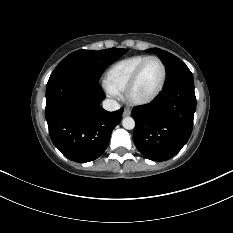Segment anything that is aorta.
<instances>
[{"label": "aorta", "instance_id": "762f6f07", "mask_svg": "<svg viewBox=\"0 0 233 233\" xmlns=\"http://www.w3.org/2000/svg\"><path fill=\"white\" fill-rule=\"evenodd\" d=\"M122 126L127 130H132L135 127V121L132 117H125L122 120Z\"/></svg>", "mask_w": 233, "mask_h": 233}]
</instances>
